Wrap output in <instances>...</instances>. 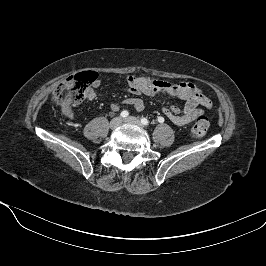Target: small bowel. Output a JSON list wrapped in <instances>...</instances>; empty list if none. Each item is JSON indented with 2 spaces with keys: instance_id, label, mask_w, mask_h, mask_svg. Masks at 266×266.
I'll list each match as a JSON object with an SVG mask.
<instances>
[{
  "instance_id": "small-bowel-1",
  "label": "small bowel",
  "mask_w": 266,
  "mask_h": 266,
  "mask_svg": "<svg viewBox=\"0 0 266 266\" xmlns=\"http://www.w3.org/2000/svg\"><path fill=\"white\" fill-rule=\"evenodd\" d=\"M100 85V81L96 80L93 87L88 88L86 92V100L93 101L97 97L95 88ZM126 90L130 93L140 95H157L165 94L171 97L180 98L185 101L184 107L172 105L163 108V114L176 126H184L195 119L201 117L205 109L212 107L211 100L203 94V92L193 83L181 82L172 84L157 78L147 76L130 75L127 78ZM123 105L132 106L137 111L145 108V103L138 97L126 98L119 102H113L111 109L118 111ZM64 114L69 119H74L76 113L72 108L63 109Z\"/></svg>"
}]
</instances>
